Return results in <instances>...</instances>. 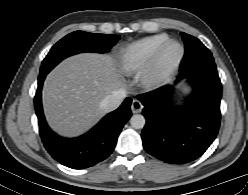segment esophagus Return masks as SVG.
I'll list each match as a JSON object with an SVG mask.
<instances>
[{"label": "esophagus", "instance_id": "esophagus-1", "mask_svg": "<svg viewBox=\"0 0 248 195\" xmlns=\"http://www.w3.org/2000/svg\"><path fill=\"white\" fill-rule=\"evenodd\" d=\"M143 109L142 103L138 99H133L131 104V110L134 114L140 113Z\"/></svg>", "mask_w": 248, "mask_h": 195}]
</instances>
